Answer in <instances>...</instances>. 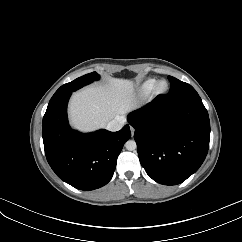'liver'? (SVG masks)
Here are the masks:
<instances>
[{"mask_svg":"<svg viewBox=\"0 0 242 242\" xmlns=\"http://www.w3.org/2000/svg\"><path fill=\"white\" fill-rule=\"evenodd\" d=\"M134 84L130 80L109 78L105 84L75 92L69 103L71 125L82 132L104 127L133 108Z\"/></svg>","mask_w":242,"mask_h":242,"instance_id":"obj_1","label":"liver"}]
</instances>
